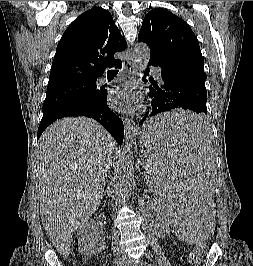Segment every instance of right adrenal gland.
<instances>
[{
	"label": "right adrenal gland",
	"instance_id": "2a0ac1e0",
	"mask_svg": "<svg viewBox=\"0 0 253 266\" xmlns=\"http://www.w3.org/2000/svg\"><path fill=\"white\" fill-rule=\"evenodd\" d=\"M109 189H110V181H109V180H107V187H106L105 191H106V192H108V191H109Z\"/></svg>",
	"mask_w": 253,
	"mask_h": 266
}]
</instances>
